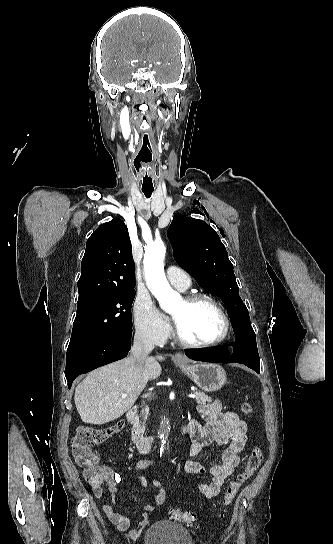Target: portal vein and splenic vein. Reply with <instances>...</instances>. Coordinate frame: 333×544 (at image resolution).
Instances as JSON below:
<instances>
[{
  "mask_svg": "<svg viewBox=\"0 0 333 544\" xmlns=\"http://www.w3.org/2000/svg\"><path fill=\"white\" fill-rule=\"evenodd\" d=\"M122 397H126V394H123ZM188 397L189 398H196L197 396H196V394L191 393V394L188 395Z\"/></svg>",
  "mask_w": 333,
  "mask_h": 544,
  "instance_id": "obj_1",
  "label": "portal vein and splenic vein"
}]
</instances>
